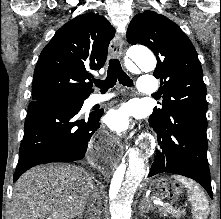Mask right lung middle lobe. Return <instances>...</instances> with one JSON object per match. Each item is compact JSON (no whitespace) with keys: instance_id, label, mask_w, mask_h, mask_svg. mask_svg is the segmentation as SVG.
I'll return each mask as SVG.
<instances>
[{"instance_id":"1","label":"right lung middle lobe","mask_w":221,"mask_h":219,"mask_svg":"<svg viewBox=\"0 0 221 219\" xmlns=\"http://www.w3.org/2000/svg\"><path fill=\"white\" fill-rule=\"evenodd\" d=\"M58 99H63V98H58ZM52 100H53V99H52ZM79 103H80L81 105H83V104H82V103H83V101H80Z\"/></svg>"}]
</instances>
